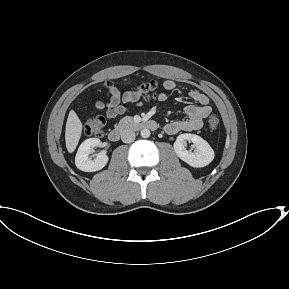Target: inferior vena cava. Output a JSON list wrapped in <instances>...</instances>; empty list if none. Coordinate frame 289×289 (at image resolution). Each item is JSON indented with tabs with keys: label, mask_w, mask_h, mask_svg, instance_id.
Masks as SVG:
<instances>
[{
	"label": "inferior vena cava",
	"mask_w": 289,
	"mask_h": 289,
	"mask_svg": "<svg viewBox=\"0 0 289 289\" xmlns=\"http://www.w3.org/2000/svg\"><path fill=\"white\" fill-rule=\"evenodd\" d=\"M121 139L124 143H131L135 140V132L127 129L121 133Z\"/></svg>",
	"instance_id": "602c4592"
}]
</instances>
